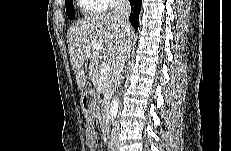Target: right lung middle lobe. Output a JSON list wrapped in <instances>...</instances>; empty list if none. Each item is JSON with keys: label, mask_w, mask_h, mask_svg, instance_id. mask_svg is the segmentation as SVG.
I'll use <instances>...</instances> for the list:
<instances>
[{"label": "right lung middle lobe", "mask_w": 231, "mask_h": 151, "mask_svg": "<svg viewBox=\"0 0 231 151\" xmlns=\"http://www.w3.org/2000/svg\"><path fill=\"white\" fill-rule=\"evenodd\" d=\"M65 6H66V12H67L68 18L70 20L74 19L75 13H74L73 1L69 0L68 2H65Z\"/></svg>", "instance_id": "right-lung-middle-lobe-1"}]
</instances>
